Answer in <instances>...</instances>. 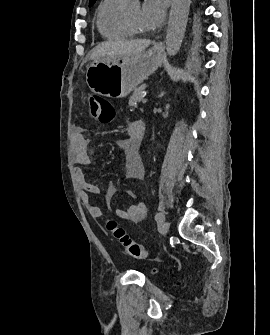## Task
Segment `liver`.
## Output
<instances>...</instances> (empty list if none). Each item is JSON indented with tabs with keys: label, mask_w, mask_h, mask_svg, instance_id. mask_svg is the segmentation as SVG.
<instances>
[{
	"label": "liver",
	"mask_w": 270,
	"mask_h": 335,
	"mask_svg": "<svg viewBox=\"0 0 270 335\" xmlns=\"http://www.w3.org/2000/svg\"><path fill=\"white\" fill-rule=\"evenodd\" d=\"M151 40H133L124 44H113V42H102L92 50L90 60L95 58H114V56H127V54H140L150 46Z\"/></svg>",
	"instance_id": "6515ba94"
}]
</instances>
